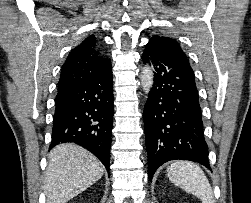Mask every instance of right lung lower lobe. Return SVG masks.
Segmentation results:
<instances>
[{
	"instance_id": "right-lung-lower-lobe-1",
	"label": "right lung lower lobe",
	"mask_w": 251,
	"mask_h": 203,
	"mask_svg": "<svg viewBox=\"0 0 251 203\" xmlns=\"http://www.w3.org/2000/svg\"><path fill=\"white\" fill-rule=\"evenodd\" d=\"M49 149L73 142L93 153L109 171L113 120L111 64L101 73L56 96Z\"/></svg>"
}]
</instances>
